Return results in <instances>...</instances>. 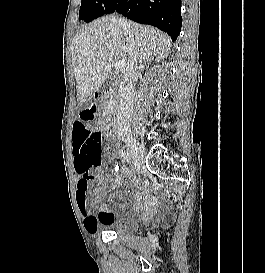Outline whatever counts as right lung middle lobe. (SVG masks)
I'll return each instance as SVG.
<instances>
[{
    "instance_id": "dd1d6c3e",
    "label": "right lung middle lobe",
    "mask_w": 265,
    "mask_h": 273,
    "mask_svg": "<svg viewBox=\"0 0 265 273\" xmlns=\"http://www.w3.org/2000/svg\"><path fill=\"white\" fill-rule=\"evenodd\" d=\"M119 0H82L79 19L90 22L104 14H110L114 11ZM102 3H105L102 7Z\"/></svg>"
}]
</instances>
